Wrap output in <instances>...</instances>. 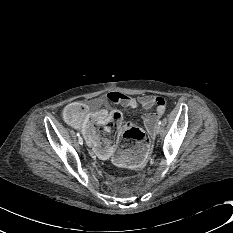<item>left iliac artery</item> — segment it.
Wrapping results in <instances>:
<instances>
[{
    "label": "left iliac artery",
    "instance_id": "44dca946",
    "mask_svg": "<svg viewBox=\"0 0 233 233\" xmlns=\"http://www.w3.org/2000/svg\"><path fill=\"white\" fill-rule=\"evenodd\" d=\"M158 124H159V125H161V124H162V122H161V121H159V122H158Z\"/></svg>",
    "mask_w": 233,
    "mask_h": 233
}]
</instances>
